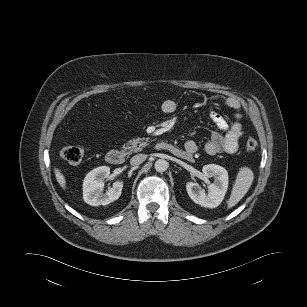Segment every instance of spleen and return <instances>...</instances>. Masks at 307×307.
Returning a JSON list of instances; mask_svg holds the SVG:
<instances>
[{
    "instance_id": "spleen-1",
    "label": "spleen",
    "mask_w": 307,
    "mask_h": 307,
    "mask_svg": "<svg viewBox=\"0 0 307 307\" xmlns=\"http://www.w3.org/2000/svg\"><path fill=\"white\" fill-rule=\"evenodd\" d=\"M253 179L254 174L250 168H240L227 203V208L234 207L245 196L252 185Z\"/></svg>"
}]
</instances>
